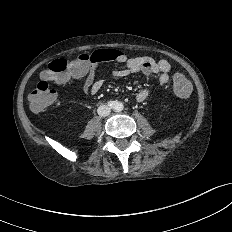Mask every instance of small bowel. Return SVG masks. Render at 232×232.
<instances>
[{
  "label": "small bowel",
  "instance_id": "c3829d8e",
  "mask_svg": "<svg viewBox=\"0 0 232 232\" xmlns=\"http://www.w3.org/2000/svg\"><path fill=\"white\" fill-rule=\"evenodd\" d=\"M110 51L113 53V57L109 61H113L117 64H124L122 68L110 71V76L123 78L140 72L146 77H151L157 74L161 85H166L169 82L171 65L167 60H155L148 56L128 57L123 51L113 49H110ZM70 76L76 79H83L82 90L85 95H94L98 93L104 84V79H95L94 68L81 73L70 72L56 83L63 84ZM149 94L150 90L148 88H141L136 94L137 102L145 101Z\"/></svg>",
  "mask_w": 232,
  "mask_h": 232
}]
</instances>
